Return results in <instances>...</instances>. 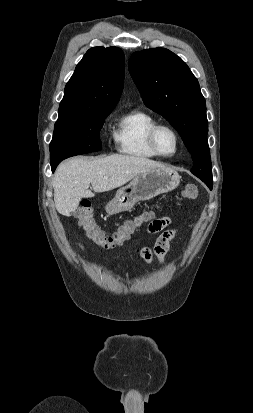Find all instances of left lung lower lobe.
Returning a JSON list of instances; mask_svg holds the SVG:
<instances>
[{
  "instance_id": "0a47b994",
  "label": "left lung lower lobe",
  "mask_w": 253,
  "mask_h": 413,
  "mask_svg": "<svg viewBox=\"0 0 253 413\" xmlns=\"http://www.w3.org/2000/svg\"><path fill=\"white\" fill-rule=\"evenodd\" d=\"M202 181L212 190V185H213L212 179H202Z\"/></svg>"
}]
</instances>
